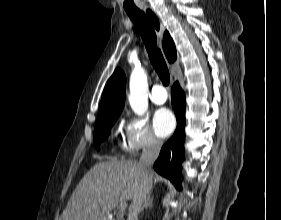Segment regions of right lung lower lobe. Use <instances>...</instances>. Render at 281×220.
<instances>
[{
    "label": "right lung lower lobe",
    "instance_id": "obj_1",
    "mask_svg": "<svg viewBox=\"0 0 281 220\" xmlns=\"http://www.w3.org/2000/svg\"><path fill=\"white\" fill-rule=\"evenodd\" d=\"M172 107L177 118V128L173 136L162 147L154 163V169L168 178L175 186L180 187L182 180L181 162L184 159L185 139V94L176 82L172 88Z\"/></svg>",
    "mask_w": 281,
    "mask_h": 220
}]
</instances>
